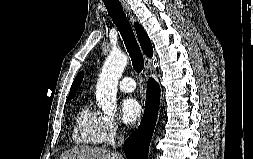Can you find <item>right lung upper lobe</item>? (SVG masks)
I'll list each match as a JSON object with an SVG mask.
<instances>
[{
	"label": "right lung upper lobe",
	"instance_id": "1",
	"mask_svg": "<svg viewBox=\"0 0 253 159\" xmlns=\"http://www.w3.org/2000/svg\"><path fill=\"white\" fill-rule=\"evenodd\" d=\"M134 27L137 33V37L139 40V43L141 45V48L143 50V52L148 56V57H152L153 55V48H152V44L151 41L149 39V37L147 36L145 30L142 28L141 25H139L138 23H134ZM83 72L79 73L78 76L75 78L71 89H70V93L69 96L67 97L68 99H71L77 92L81 81L83 79Z\"/></svg>",
	"mask_w": 253,
	"mask_h": 159
}]
</instances>
